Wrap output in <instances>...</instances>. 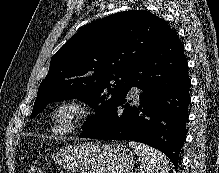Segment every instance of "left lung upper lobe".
I'll return each instance as SVG.
<instances>
[{
	"instance_id": "5c2ea615",
	"label": "left lung upper lobe",
	"mask_w": 219,
	"mask_h": 173,
	"mask_svg": "<svg viewBox=\"0 0 219 173\" xmlns=\"http://www.w3.org/2000/svg\"><path fill=\"white\" fill-rule=\"evenodd\" d=\"M172 31L165 20L144 10L116 13L84 26L52 57L30 118L50 102L77 98L95 110L81 134L97 131L131 89L140 58Z\"/></svg>"
}]
</instances>
